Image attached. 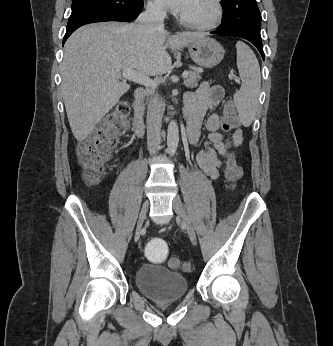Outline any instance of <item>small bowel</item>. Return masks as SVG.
Wrapping results in <instances>:
<instances>
[{
  "label": "small bowel",
  "instance_id": "small-bowel-1",
  "mask_svg": "<svg viewBox=\"0 0 333 346\" xmlns=\"http://www.w3.org/2000/svg\"><path fill=\"white\" fill-rule=\"evenodd\" d=\"M224 90L220 85L202 82L198 89L185 95L184 110L188 118V135L190 143H196L204 127L207 140L204 148L197 154V162L202 170L211 178L218 177L222 165L220 159L228 153L225 143L224 127L220 115L215 108L220 104ZM242 143V132L236 128L232 133L231 145L237 147Z\"/></svg>",
  "mask_w": 333,
  "mask_h": 346
}]
</instances>
